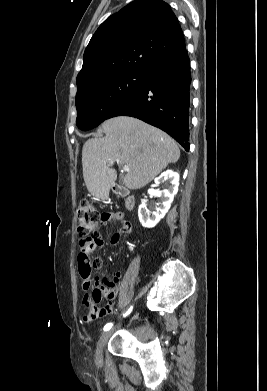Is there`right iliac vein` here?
<instances>
[{
  "instance_id": "1",
  "label": "right iliac vein",
  "mask_w": 267,
  "mask_h": 391,
  "mask_svg": "<svg viewBox=\"0 0 267 391\" xmlns=\"http://www.w3.org/2000/svg\"><path fill=\"white\" fill-rule=\"evenodd\" d=\"M114 330H115V328L107 330L106 332H104L101 335L99 341L97 342L96 353H95V358H96L97 363H101L102 357H103V355H102L103 354V348H104L105 344L107 343L109 337L111 336V334L113 333Z\"/></svg>"
}]
</instances>
